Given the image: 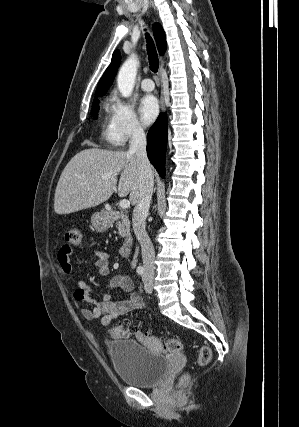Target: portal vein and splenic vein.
I'll return each mask as SVG.
<instances>
[{
	"label": "portal vein and splenic vein",
	"instance_id": "18ae733b",
	"mask_svg": "<svg viewBox=\"0 0 299 427\" xmlns=\"http://www.w3.org/2000/svg\"><path fill=\"white\" fill-rule=\"evenodd\" d=\"M110 177H111V175H110V174H104V175L102 176V178H103V179H109ZM119 206H120L122 209H127V208H129V207H130V201H129V200H126V199H123V200H121V201H120Z\"/></svg>",
	"mask_w": 299,
	"mask_h": 427
}]
</instances>
